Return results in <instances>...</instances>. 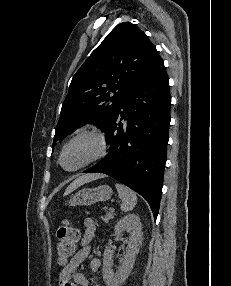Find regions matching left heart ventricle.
<instances>
[{
	"mask_svg": "<svg viewBox=\"0 0 231 286\" xmlns=\"http://www.w3.org/2000/svg\"><path fill=\"white\" fill-rule=\"evenodd\" d=\"M97 151V143L91 137H83L73 142L65 151L63 165L72 169L91 158Z\"/></svg>",
	"mask_w": 231,
	"mask_h": 286,
	"instance_id": "left-heart-ventricle-1",
	"label": "left heart ventricle"
}]
</instances>
